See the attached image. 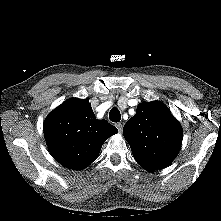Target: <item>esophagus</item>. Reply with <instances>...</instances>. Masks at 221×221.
I'll return each instance as SVG.
<instances>
[{
    "instance_id": "esophagus-1",
    "label": "esophagus",
    "mask_w": 221,
    "mask_h": 221,
    "mask_svg": "<svg viewBox=\"0 0 221 221\" xmlns=\"http://www.w3.org/2000/svg\"><path fill=\"white\" fill-rule=\"evenodd\" d=\"M116 127L118 128L119 132L123 130V125L121 123H117Z\"/></svg>"
}]
</instances>
